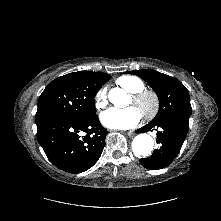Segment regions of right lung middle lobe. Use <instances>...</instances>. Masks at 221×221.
<instances>
[{
  "label": "right lung middle lobe",
  "instance_id": "1",
  "mask_svg": "<svg viewBox=\"0 0 221 221\" xmlns=\"http://www.w3.org/2000/svg\"><path fill=\"white\" fill-rule=\"evenodd\" d=\"M105 82H85L71 73L56 78L39 97L35 115L37 127L59 119L85 120L95 117L94 97Z\"/></svg>",
  "mask_w": 221,
  "mask_h": 221
}]
</instances>
